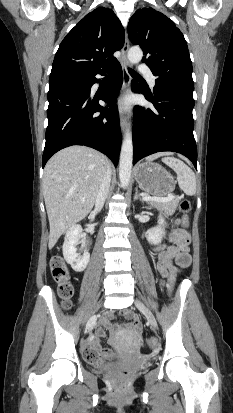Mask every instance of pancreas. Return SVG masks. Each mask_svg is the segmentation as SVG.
Instances as JSON below:
<instances>
[{
	"label": "pancreas",
	"instance_id": "1",
	"mask_svg": "<svg viewBox=\"0 0 233 413\" xmlns=\"http://www.w3.org/2000/svg\"><path fill=\"white\" fill-rule=\"evenodd\" d=\"M180 199L175 197L169 202H155L151 201V205L154 206L159 211H163L166 215H172L177 209Z\"/></svg>",
	"mask_w": 233,
	"mask_h": 413
}]
</instances>
